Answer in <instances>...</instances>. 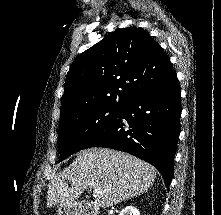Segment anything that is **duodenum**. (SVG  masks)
<instances>
[{
	"instance_id": "1",
	"label": "duodenum",
	"mask_w": 221,
	"mask_h": 215,
	"mask_svg": "<svg viewBox=\"0 0 221 215\" xmlns=\"http://www.w3.org/2000/svg\"><path fill=\"white\" fill-rule=\"evenodd\" d=\"M79 215H97V211L94 208L88 209L86 211H83Z\"/></svg>"
}]
</instances>
